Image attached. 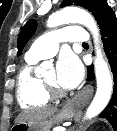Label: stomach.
I'll return each mask as SVG.
<instances>
[{
	"mask_svg": "<svg viewBox=\"0 0 117 131\" xmlns=\"http://www.w3.org/2000/svg\"><path fill=\"white\" fill-rule=\"evenodd\" d=\"M74 111L69 107H64L55 115L44 119L34 121H24L17 123L12 127L14 131H50V128L54 125L69 120L73 117Z\"/></svg>",
	"mask_w": 117,
	"mask_h": 131,
	"instance_id": "1",
	"label": "stomach"
}]
</instances>
